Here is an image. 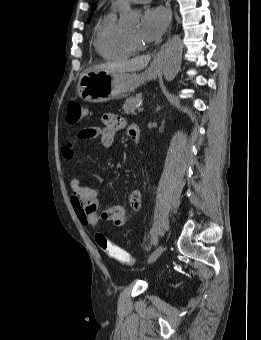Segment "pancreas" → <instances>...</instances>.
<instances>
[{
    "instance_id": "pancreas-1",
    "label": "pancreas",
    "mask_w": 261,
    "mask_h": 340,
    "mask_svg": "<svg viewBox=\"0 0 261 340\" xmlns=\"http://www.w3.org/2000/svg\"><path fill=\"white\" fill-rule=\"evenodd\" d=\"M142 94H136L126 99L123 104V110L126 114L136 115L135 110L137 109V104L140 102Z\"/></svg>"
}]
</instances>
